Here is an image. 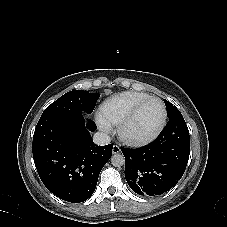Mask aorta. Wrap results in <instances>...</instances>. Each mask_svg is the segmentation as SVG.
I'll list each match as a JSON object with an SVG mask.
<instances>
[{
	"instance_id": "1",
	"label": "aorta",
	"mask_w": 227,
	"mask_h": 227,
	"mask_svg": "<svg viewBox=\"0 0 227 227\" xmlns=\"http://www.w3.org/2000/svg\"><path fill=\"white\" fill-rule=\"evenodd\" d=\"M111 164L114 167H121L125 164V157L123 154L116 153L111 157Z\"/></svg>"
}]
</instances>
